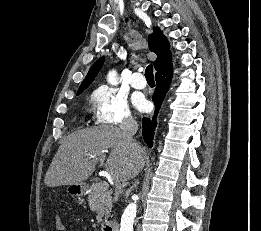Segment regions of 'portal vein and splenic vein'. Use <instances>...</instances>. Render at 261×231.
I'll list each match as a JSON object with an SVG mask.
<instances>
[{"label": "portal vein and splenic vein", "mask_w": 261, "mask_h": 231, "mask_svg": "<svg viewBox=\"0 0 261 231\" xmlns=\"http://www.w3.org/2000/svg\"><path fill=\"white\" fill-rule=\"evenodd\" d=\"M109 187L108 183L106 181L100 182V188L103 190H107Z\"/></svg>", "instance_id": "portal-vein-and-splenic-vein-1"}]
</instances>
